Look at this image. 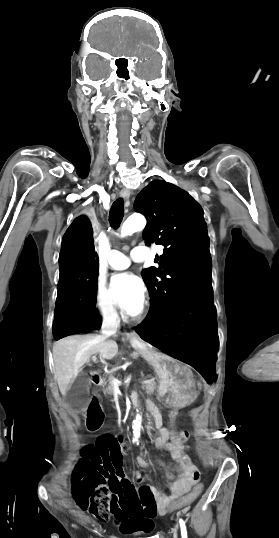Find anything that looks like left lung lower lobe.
<instances>
[{
	"label": "left lung lower lobe",
	"instance_id": "0a47b994",
	"mask_svg": "<svg viewBox=\"0 0 279 538\" xmlns=\"http://www.w3.org/2000/svg\"><path fill=\"white\" fill-rule=\"evenodd\" d=\"M135 331L145 341L194 367L208 382L215 380L218 334L211 284L183 297L161 321L142 322Z\"/></svg>",
	"mask_w": 279,
	"mask_h": 538
}]
</instances>
